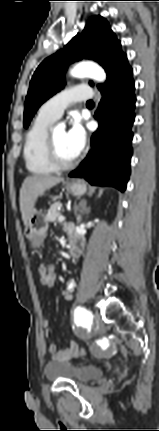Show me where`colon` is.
I'll return each mask as SVG.
<instances>
[{"instance_id":"colon-1","label":"colon","mask_w":159,"mask_h":431,"mask_svg":"<svg viewBox=\"0 0 159 431\" xmlns=\"http://www.w3.org/2000/svg\"><path fill=\"white\" fill-rule=\"evenodd\" d=\"M48 266H47V276L50 277L49 278V283H50V288H55V283L57 282V279L54 277V271H55V267L56 264L53 261H48ZM85 356V347H80V353H78V358H84Z\"/></svg>"}]
</instances>
